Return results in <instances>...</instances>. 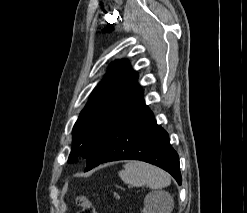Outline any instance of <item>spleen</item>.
I'll return each mask as SVG.
<instances>
[{
	"label": "spleen",
	"instance_id": "3e777b00",
	"mask_svg": "<svg viewBox=\"0 0 247 213\" xmlns=\"http://www.w3.org/2000/svg\"><path fill=\"white\" fill-rule=\"evenodd\" d=\"M118 174L123 182L138 187L162 189L171 183L169 174L164 170L140 161L128 162Z\"/></svg>",
	"mask_w": 247,
	"mask_h": 213
}]
</instances>
